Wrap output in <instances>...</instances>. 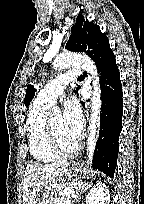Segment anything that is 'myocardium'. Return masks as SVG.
Instances as JSON below:
<instances>
[{
    "instance_id": "f54148a6",
    "label": "myocardium",
    "mask_w": 144,
    "mask_h": 204,
    "mask_svg": "<svg viewBox=\"0 0 144 204\" xmlns=\"http://www.w3.org/2000/svg\"><path fill=\"white\" fill-rule=\"evenodd\" d=\"M46 132H47V137H48V141H49V144L52 148V150L58 155V156H61V157H68V156H72L74 154H76L79 149H80V143L79 141L77 140L75 142V144L71 147V148H64L59 140H58V137L54 131V128L52 126V123H51V120H47V123H46Z\"/></svg>"
}]
</instances>
